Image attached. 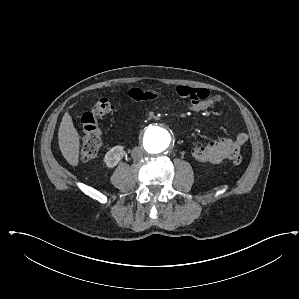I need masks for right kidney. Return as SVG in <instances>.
Here are the masks:
<instances>
[{
	"label": "right kidney",
	"instance_id": "ca27d5eb",
	"mask_svg": "<svg viewBox=\"0 0 299 299\" xmlns=\"http://www.w3.org/2000/svg\"><path fill=\"white\" fill-rule=\"evenodd\" d=\"M124 155L123 146H115L111 148L104 157V162L107 167H115Z\"/></svg>",
	"mask_w": 299,
	"mask_h": 299
}]
</instances>
